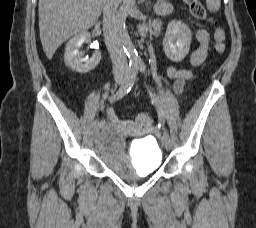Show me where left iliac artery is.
<instances>
[{
  "label": "left iliac artery",
  "mask_w": 256,
  "mask_h": 228,
  "mask_svg": "<svg viewBox=\"0 0 256 228\" xmlns=\"http://www.w3.org/2000/svg\"><path fill=\"white\" fill-rule=\"evenodd\" d=\"M137 67H138V69L140 70V72L145 73L146 66H145V64H144L143 62L139 63ZM150 96H151V98H152L153 103H154V104L156 105V107H157L158 117H159L160 123L162 124L163 132H164L165 135H168V136H169L167 130H166L165 127H164L165 116H164L163 109H162V107H161L160 100H159L158 96H157L155 93H150Z\"/></svg>",
  "instance_id": "44dca946"
}]
</instances>
